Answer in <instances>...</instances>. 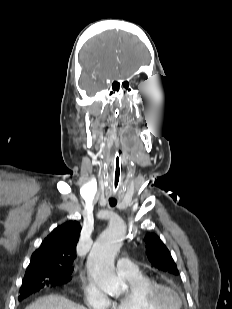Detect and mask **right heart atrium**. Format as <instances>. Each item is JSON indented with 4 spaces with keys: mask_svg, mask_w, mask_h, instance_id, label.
Listing matches in <instances>:
<instances>
[{
    "mask_svg": "<svg viewBox=\"0 0 232 309\" xmlns=\"http://www.w3.org/2000/svg\"><path fill=\"white\" fill-rule=\"evenodd\" d=\"M82 289L86 304L93 309H110L111 300L102 289L91 280L82 282Z\"/></svg>",
    "mask_w": 232,
    "mask_h": 309,
    "instance_id": "right-heart-atrium-1",
    "label": "right heart atrium"
}]
</instances>
